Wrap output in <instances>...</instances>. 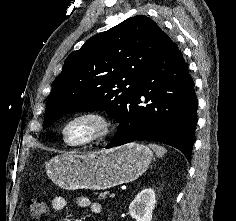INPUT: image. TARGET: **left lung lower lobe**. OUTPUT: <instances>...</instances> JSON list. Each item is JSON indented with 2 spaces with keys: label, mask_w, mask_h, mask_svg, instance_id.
Instances as JSON below:
<instances>
[{
  "label": "left lung lower lobe",
  "mask_w": 236,
  "mask_h": 221,
  "mask_svg": "<svg viewBox=\"0 0 236 221\" xmlns=\"http://www.w3.org/2000/svg\"><path fill=\"white\" fill-rule=\"evenodd\" d=\"M145 96V106H139ZM198 101L194 81L176 44L167 35L138 78L110 148L135 140H152L191 158Z\"/></svg>",
  "instance_id": "1"
}]
</instances>
